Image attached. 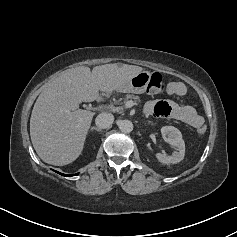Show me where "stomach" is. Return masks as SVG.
Segmentation results:
<instances>
[{
    "label": "stomach",
    "mask_w": 237,
    "mask_h": 237,
    "mask_svg": "<svg viewBox=\"0 0 237 237\" xmlns=\"http://www.w3.org/2000/svg\"><path fill=\"white\" fill-rule=\"evenodd\" d=\"M151 74L148 71H141L124 83L117 91L123 93L142 94L146 91Z\"/></svg>",
    "instance_id": "obj_1"
}]
</instances>
